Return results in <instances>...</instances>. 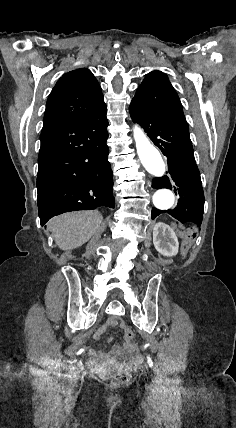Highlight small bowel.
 <instances>
[{
  "mask_svg": "<svg viewBox=\"0 0 236 428\" xmlns=\"http://www.w3.org/2000/svg\"><path fill=\"white\" fill-rule=\"evenodd\" d=\"M117 325H120L121 328H125L124 324L119 322L116 318H109L105 324L98 329L95 338L98 339L108 329ZM89 354L91 356V364L100 371H105L113 366H133L142 361V355L139 353L137 347L128 343L122 346L115 345L110 353L91 349Z\"/></svg>",
  "mask_w": 236,
  "mask_h": 428,
  "instance_id": "c3829d8e",
  "label": "small bowel"
}]
</instances>
